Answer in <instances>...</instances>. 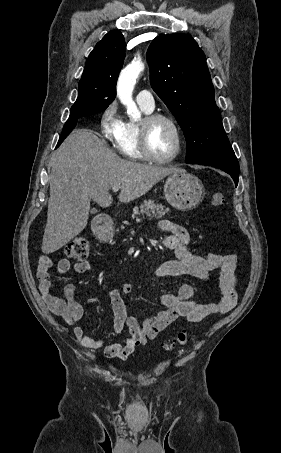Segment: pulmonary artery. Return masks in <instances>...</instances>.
<instances>
[{
	"label": "pulmonary artery",
	"mask_w": 281,
	"mask_h": 453,
	"mask_svg": "<svg viewBox=\"0 0 281 453\" xmlns=\"http://www.w3.org/2000/svg\"><path fill=\"white\" fill-rule=\"evenodd\" d=\"M137 102L144 104L148 109H153L155 106L154 98L147 90L140 91L136 97Z\"/></svg>",
	"instance_id": "pulmonary-artery-1"
}]
</instances>
